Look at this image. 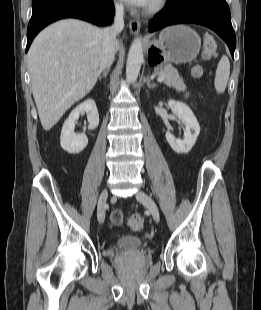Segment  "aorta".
Returning <instances> with one entry per match:
<instances>
[{
  "label": "aorta",
  "instance_id": "1",
  "mask_svg": "<svg viewBox=\"0 0 261 310\" xmlns=\"http://www.w3.org/2000/svg\"><path fill=\"white\" fill-rule=\"evenodd\" d=\"M143 60L142 42L137 37L132 42L128 53L126 64V79L128 82L134 83L137 80Z\"/></svg>",
  "mask_w": 261,
  "mask_h": 310
}]
</instances>
